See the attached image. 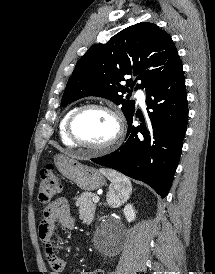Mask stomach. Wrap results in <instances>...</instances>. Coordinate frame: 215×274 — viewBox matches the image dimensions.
Instances as JSON below:
<instances>
[{
    "label": "stomach",
    "instance_id": "obj_1",
    "mask_svg": "<svg viewBox=\"0 0 215 274\" xmlns=\"http://www.w3.org/2000/svg\"><path fill=\"white\" fill-rule=\"evenodd\" d=\"M54 162L63 176L73 181L84 191L97 190L106 184L105 178L100 171L83 165L73 158L59 154L55 156ZM129 195L130 193L123 196L122 203L129 198Z\"/></svg>",
    "mask_w": 215,
    "mask_h": 274
}]
</instances>
